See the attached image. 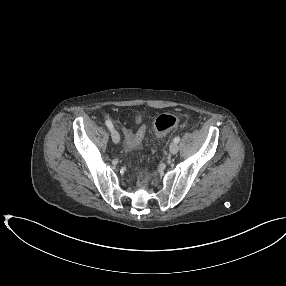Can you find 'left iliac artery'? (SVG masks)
I'll list each match as a JSON object with an SVG mask.
<instances>
[{"label":"left iliac artery","mask_w":286,"mask_h":286,"mask_svg":"<svg viewBox=\"0 0 286 286\" xmlns=\"http://www.w3.org/2000/svg\"><path fill=\"white\" fill-rule=\"evenodd\" d=\"M179 141H180V137H179V136H177V137L174 138V142H175V143H179Z\"/></svg>","instance_id":"left-iliac-artery-1"}]
</instances>
